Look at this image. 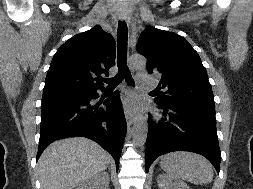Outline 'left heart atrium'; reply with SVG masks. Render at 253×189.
Segmentation results:
<instances>
[{"instance_id": "left-heart-atrium-1", "label": "left heart atrium", "mask_w": 253, "mask_h": 189, "mask_svg": "<svg viewBox=\"0 0 253 189\" xmlns=\"http://www.w3.org/2000/svg\"><path fill=\"white\" fill-rule=\"evenodd\" d=\"M136 103L134 102V101H132V100H130V101H128L127 103H126V108L129 110V111H134V110H136Z\"/></svg>"}]
</instances>
